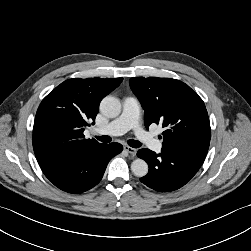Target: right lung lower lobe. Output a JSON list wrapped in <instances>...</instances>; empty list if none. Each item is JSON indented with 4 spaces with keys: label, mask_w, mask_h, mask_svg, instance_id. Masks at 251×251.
<instances>
[{
    "label": "right lung lower lobe",
    "mask_w": 251,
    "mask_h": 251,
    "mask_svg": "<svg viewBox=\"0 0 251 251\" xmlns=\"http://www.w3.org/2000/svg\"><path fill=\"white\" fill-rule=\"evenodd\" d=\"M122 150L119 143L101 144L75 154L38 160V163L56 187L68 193H82L100 182L108 162Z\"/></svg>",
    "instance_id": "obj_1"
}]
</instances>
